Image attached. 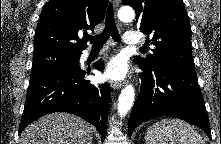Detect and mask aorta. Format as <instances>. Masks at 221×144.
<instances>
[{
    "label": "aorta",
    "instance_id": "762f6f07",
    "mask_svg": "<svg viewBox=\"0 0 221 144\" xmlns=\"http://www.w3.org/2000/svg\"><path fill=\"white\" fill-rule=\"evenodd\" d=\"M118 17L123 22L132 21L135 17V12L131 7H122L118 11ZM135 97V89L132 85H127L121 91L118 100V113L120 117H124L131 109Z\"/></svg>",
    "mask_w": 221,
    "mask_h": 144
}]
</instances>
